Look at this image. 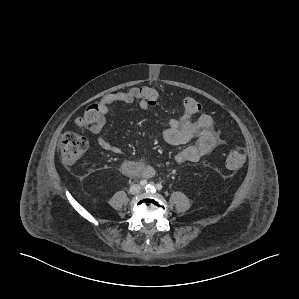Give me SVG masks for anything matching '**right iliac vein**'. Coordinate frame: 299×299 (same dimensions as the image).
Listing matches in <instances>:
<instances>
[{
    "label": "right iliac vein",
    "instance_id": "right-iliac-vein-1",
    "mask_svg": "<svg viewBox=\"0 0 299 299\" xmlns=\"http://www.w3.org/2000/svg\"><path fill=\"white\" fill-rule=\"evenodd\" d=\"M140 191H141V187L139 185H137V184L136 185H132L130 187V193L133 194V195H136V194L140 193Z\"/></svg>",
    "mask_w": 299,
    "mask_h": 299
}]
</instances>
